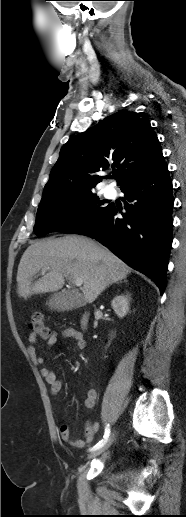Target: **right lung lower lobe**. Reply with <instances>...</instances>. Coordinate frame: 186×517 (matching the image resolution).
<instances>
[{"mask_svg": "<svg viewBox=\"0 0 186 517\" xmlns=\"http://www.w3.org/2000/svg\"><path fill=\"white\" fill-rule=\"evenodd\" d=\"M126 204L123 218L110 207L73 233L96 239L132 268L152 279L161 294L172 244V181L166 163L121 188Z\"/></svg>", "mask_w": 186, "mask_h": 517, "instance_id": "right-lung-lower-lobe-1", "label": "right lung lower lobe"}]
</instances>
